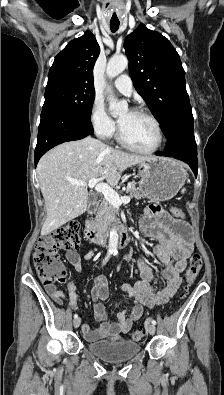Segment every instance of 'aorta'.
<instances>
[{
    "label": "aorta",
    "mask_w": 224,
    "mask_h": 395,
    "mask_svg": "<svg viewBox=\"0 0 224 395\" xmlns=\"http://www.w3.org/2000/svg\"><path fill=\"white\" fill-rule=\"evenodd\" d=\"M128 66V59L125 56H114L112 57L107 64L106 74L109 78H114L122 73L125 68ZM108 92H111L110 88L107 89ZM110 104L109 109L113 116H117L122 114L128 110V104L125 101H118L113 96L109 97ZM110 252H117L118 248V233L115 228L111 229L109 234V245Z\"/></svg>",
    "instance_id": "1"
}]
</instances>
